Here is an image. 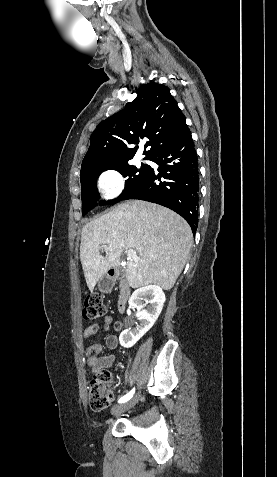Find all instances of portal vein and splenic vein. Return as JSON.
Segmentation results:
<instances>
[{"mask_svg":"<svg viewBox=\"0 0 277 477\" xmlns=\"http://www.w3.org/2000/svg\"><path fill=\"white\" fill-rule=\"evenodd\" d=\"M102 248H105V246H102ZM127 256L130 257V258H133V259H137V258H138L137 253H136L134 250H132V249H129V250L127 251Z\"/></svg>","mask_w":277,"mask_h":477,"instance_id":"18ae733b","label":"portal vein and splenic vein"}]
</instances>
